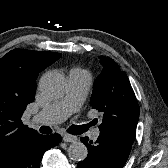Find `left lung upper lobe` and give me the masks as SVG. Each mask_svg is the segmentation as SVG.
<instances>
[{
	"mask_svg": "<svg viewBox=\"0 0 168 168\" xmlns=\"http://www.w3.org/2000/svg\"><path fill=\"white\" fill-rule=\"evenodd\" d=\"M103 66L93 85L91 106L103 114L100 132L134 142L139 119V105L129 79L111 58L100 56Z\"/></svg>",
	"mask_w": 168,
	"mask_h": 168,
	"instance_id": "1",
	"label": "left lung upper lobe"
}]
</instances>
